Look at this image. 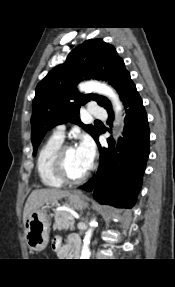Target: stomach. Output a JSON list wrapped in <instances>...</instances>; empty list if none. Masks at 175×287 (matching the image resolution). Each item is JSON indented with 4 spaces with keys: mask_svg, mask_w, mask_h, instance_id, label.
<instances>
[{
    "mask_svg": "<svg viewBox=\"0 0 175 287\" xmlns=\"http://www.w3.org/2000/svg\"><path fill=\"white\" fill-rule=\"evenodd\" d=\"M68 205L73 209L80 210L87 206L86 198L77 191L68 195ZM50 218L48 214L38 209L30 213L24 222V237L31 251H42L49 242Z\"/></svg>",
    "mask_w": 175,
    "mask_h": 287,
    "instance_id": "stomach-1",
    "label": "stomach"
}]
</instances>
